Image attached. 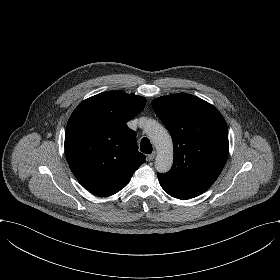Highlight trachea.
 <instances>
[{
  "label": "trachea",
  "instance_id": "1",
  "mask_svg": "<svg viewBox=\"0 0 280 280\" xmlns=\"http://www.w3.org/2000/svg\"><path fill=\"white\" fill-rule=\"evenodd\" d=\"M140 150H141V152H143L145 154H150L152 152V145H151L150 140L148 138L144 137L141 140Z\"/></svg>",
  "mask_w": 280,
  "mask_h": 280
}]
</instances>
